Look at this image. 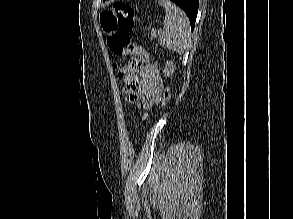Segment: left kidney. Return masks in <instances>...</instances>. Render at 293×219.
I'll use <instances>...</instances> for the list:
<instances>
[{"instance_id": "1", "label": "left kidney", "mask_w": 293, "mask_h": 219, "mask_svg": "<svg viewBox=\"0 0 293 219\" xmlns=\"http://www.w3.org/2000/svg\"><path fill=\"white\" fill-rule=\"evenodd\" d=\"M174 69H175V65L173 63V61H167L166 62V65H165V68L163 70V73L165 76H170L173 74L174 72Z\"/></svg>"}]
</instances>
